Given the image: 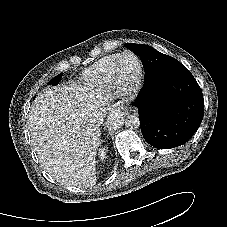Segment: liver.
Listing matches in <instances>:
<instances>
[{"label":"liver","mask_w":227,"mask_h":227,"mask_svg":"<svg viewBox=\"0 0 227 227\" xmlns=\"http://www.w3.org/2000/svg\"><path fill=\"white\" fill-rule=\"evenodd\" d=\"M109 95L99 88L54 86L31 106L28 129L40 162L58 182L76 187L96 184L99 126Z\"/></svg>","instance_id":"6515ba94"}]
</instances>
